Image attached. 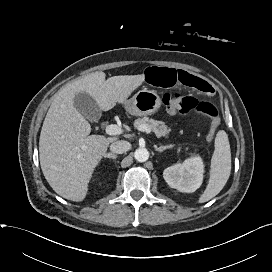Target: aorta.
<instances>
[{
    "label": "aorta",
    "instance_id": "obj_1",
    "mask_svg": "<svg viewBox=\"0 0 272 272\" xmlns=\"http://www.w3.org/2000/svg\"><path fill=\"white\" fill-rule=\"evenodd\" d=\"M134 158L138 162H145L149 158V151L146 148H138L134 152Z\"/></svg>",
    "mask_w": 272,
    "mask_h": 272
}]
</instances>
